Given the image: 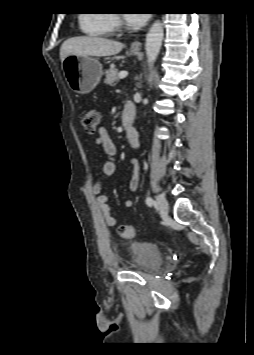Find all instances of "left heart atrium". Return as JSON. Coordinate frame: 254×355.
Instances as JSON below:
<instances>
[{"instance_id": "39dd6f15", "label": "left heart atrium", "mask_w": 254, "mask_h": 355, "mask_svg": "<svg viewBox=\"0 0 254 355\" xmlns=\"http://www.w3.org/2000/svg\"><path fill=\"white\" fill-rule=\"evenodd\" d=\"M126 21L129 25L140 27L144 25L148 19V14L146 13H128L126 14Z\"/></svg>"}]
</instances>
